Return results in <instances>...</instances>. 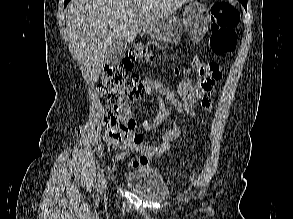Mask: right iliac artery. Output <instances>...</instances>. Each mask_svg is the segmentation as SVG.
Returning <instances> with one entry per match:
<instances>
[{"label": "right iliac artery", "instance_id": "1", "mask_svg": "<svg viewBox=\"0 0 293 219\" xmlns=\"http://www.w3.org/2000/svg\"><path fill=\"white\" fill-rule=\"evenodd\" d=\"M103 179H104V170L100 169L98 172V184L96 186L97 194L101 193Z\"/></svg>", "mask_w": 293, "mask_h": 219}]
</instances>
